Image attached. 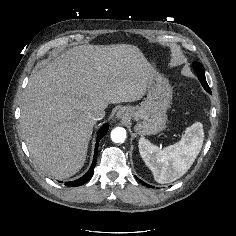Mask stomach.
Masks as SVG:
<instances>
[{"mask_svg": "<svg viewBox=\"0 0 236 236\" xmlns=\"http://www.w3.org/2000/svg\"><path fill=\"white\" fill-rule=\"evenodd\" d=\"M172 94L169 81L153 71L148 81L146 98L140 106L129 107L130 118L136 121L134 129L139 135H155L165 128Z\"/></svg>", "mask_w": 236, "mask_h": 236, "instance_id": "obj_1", "label": "stomach"}]
</instances>
